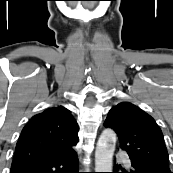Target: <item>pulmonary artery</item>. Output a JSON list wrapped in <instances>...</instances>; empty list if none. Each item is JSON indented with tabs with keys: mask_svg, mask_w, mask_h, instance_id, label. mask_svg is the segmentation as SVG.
Instances as JSON below:
<instances>
[{
	"mask_svg": "<svg viewBox=\"0 0 173 173\" xmlns=\"http://www.w3.org/2000/svg\"><path fill=\"white\" fill-rule=\"evenodd\" d=\"M118 156H120V157H123V161H124V163L126 164V165H129L130 164V162L126 159V158H124V154L123 153H118Z\"/></svg>",
	"mask_w": 173,
	"mask_h": 173,
	"instance_id": "1",
	"label": "pulmonary artery"
}]
</instances>
